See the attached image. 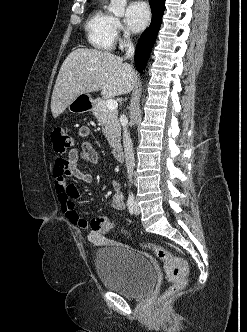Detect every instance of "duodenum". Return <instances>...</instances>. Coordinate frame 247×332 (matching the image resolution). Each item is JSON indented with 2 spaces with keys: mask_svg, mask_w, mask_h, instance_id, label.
Instances as JSON below:
<instances>
[{
  "mask_svg": "<svg viewBox=\"0 0 247 332\" xmlns=\"http://www.w3.org/2000/svg\"><path fill=\"white\" fill-rule=\"evenodd\" d=\"M113 154L118 160H123L124 159V151L121 146H115L113 149Z\"/></svg>",
  "mask_w": 247,
  "mask_h": 332,
  "instance_id": "obj_1",
  "label": "duodenum"
}]
</instances>
